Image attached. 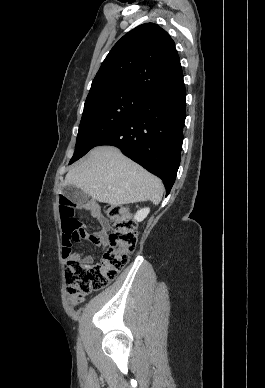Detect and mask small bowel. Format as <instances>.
<instances>
[{"mask_svg": "<svg viewBox=\"0 0 265 388\" xmlns=\"http://www.w3.org/2000/svg\"><path fill=\"white\" fill-rule=\"evenodd\" d=\"M80 207L90 213V215L100 224L101 230L92 234H88L87 239L98 247L105 248L108 245V232L110 230V223L102 214L100 207L94 202H87L80 205ZM75 258L79 259L77 254ZM80 260V259H79ZM85 264H92L93 257L85 256L82 260Z\"/></svg>", "mask_w": 265, "mask_h": 388, "instance_id": "small-bowel-1", "label": "small bowel"}]
</instances>
